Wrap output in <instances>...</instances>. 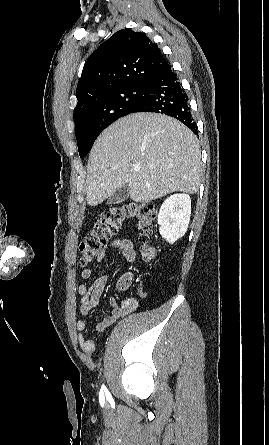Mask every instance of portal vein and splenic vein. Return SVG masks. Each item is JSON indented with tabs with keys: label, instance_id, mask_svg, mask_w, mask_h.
<instances>
[{
	"label": "portal vein and splenic vein",
	"instance_id": "18ae733b",
	"mask_svg": "<svg viewBox=\"0 0 269 445\" xmlns=\"http://www.w3.org/2000/svg\"><path fill=\"white\" fill-rule=\"evenodd\" d=\"M139 169H140L139 167H135L134 168L135 171H139Z\"/></svg>",
	"mask_w": 269,
	"mask_h": 445
}]
</instances>
